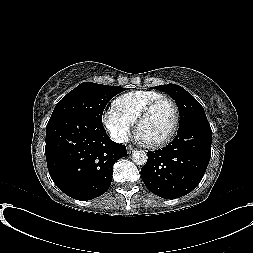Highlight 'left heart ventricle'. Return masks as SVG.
I'll use <instances>...</instances> for the list:
<instances>
[{
    "label": "left heart ventricle",
    "mask_w": 253,
    "mask_h": 253,
    "mask_svg": "<svg viewBox=\"0 0 253 253\" xmlns=\"http://www.w3.org/2000/svg\"><path fill=\"white\" fill-rule=\"evenodd\" d=\"M175 114L168 102L159 104L140 127L141 138L147 142H157L163 139L174 124Z\"/></svg>",
    "instance_id": "obj_1"
}]
</instances>
